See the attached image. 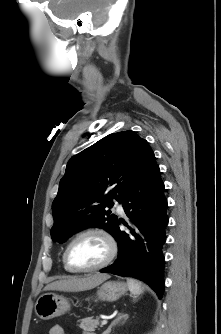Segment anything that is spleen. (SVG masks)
Wrapping results in <instances>:
<instances>
[{"mask_svg":"<svg viewBox=\"0 0 221 334\" xmlns=\"http://www.w3.org/2000/svg\"><path fill=\"white\" fill-rule=\"evenodd\" d=\"M127 285L131 294L133 295V298H137L140 294L143 293V287L137 280L128 278Z\"/></svg>","mask_w":221,"mask_h":334,"instance_id":"1","label":"spleen"}]
</instances>
